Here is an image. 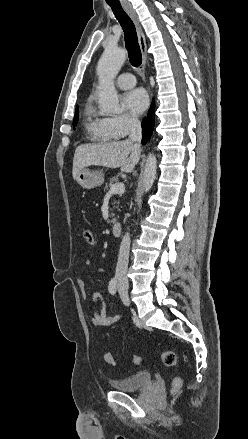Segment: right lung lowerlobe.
<instances>
[{"label": "right lung lower lobe", "instance_id": "98d812e1", "mask_svg": "<svg viewBox=\"0 0 248 439\" xmlns=\"http://www.w3.org/2000/svg\"><path fill=\"white\" fill-rule=\"evenodd\" d=\"M154 108H155V103H152V106L150 108V111L148 113V118H144L142 121V144H146L149 137L152 134L153 131V127H154Z\"/></svg>", "mask_w": 248, "mask_h": 439}]
</instances>
